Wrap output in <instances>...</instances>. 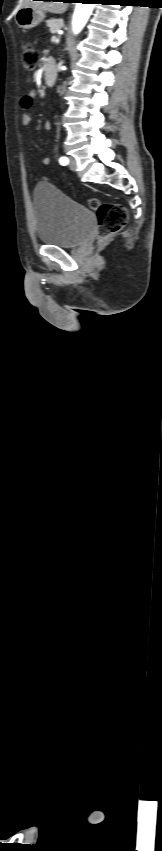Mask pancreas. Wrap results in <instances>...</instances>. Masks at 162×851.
Returning <instances> with one entry per match:
<instances>
[{
	"mask_svg": "<svg viewBox=\"0 0 162 851\" xmlns=\"http://www.w3.org/2000/svg\"><path fill=\"white\" fill-rule=\"evenodd\" d=\"M47 26L52 34H56L64 25L62 20L52 19L47 21Z\"/></svg>",
	"mask_w": 162,
	"mask_h": 851,
	"instance_id": "cf45deb5",
	"label": "pancreas"
}]
</instances>
